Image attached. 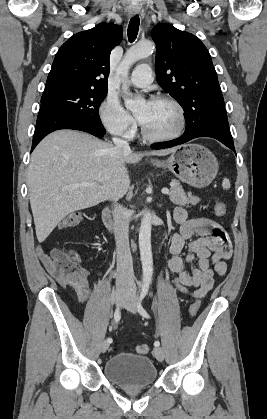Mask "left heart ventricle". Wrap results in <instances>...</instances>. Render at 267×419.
<instances>
[{
	"mask_svg": "<svg viewBox=\"0 0 267 419\" xmlns=\"http://www.w3.org/2000/svg\"><path fill=\"white\" fill-rule=\"evenodd\" d=\"M137 115L143 114L141 122L148 132L154 135H165L175 130L178 125V113L168 102L150 101L139 105Z\"/></svg>",
	"mask_w": 267,
	"mask_h": 419,
	"instance_id": "1",
	"label": "left heart ventricle"
}]
</instances>
